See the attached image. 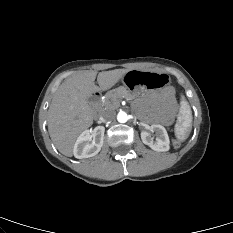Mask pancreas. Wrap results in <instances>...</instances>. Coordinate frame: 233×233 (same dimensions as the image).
<instances>
[{
	"instance_id": "1",
	"label": "pancreas",
	"mask_w": 233,
	"mask_h": 233,
	"mask_svg": "<svg viewBox=\"0 0 233 233\" xmlns=\"http://www.w3.org/2000/svg\"><path fill=\"white\" fill-rule=\"evenodd\" d=\"M125 98L127 100H132V95L124 87H119L112 91H109L106 94V97L103 101V106L105 109L114 110L119 107L120 101Z\"/></svg>"
}]
</instances>
